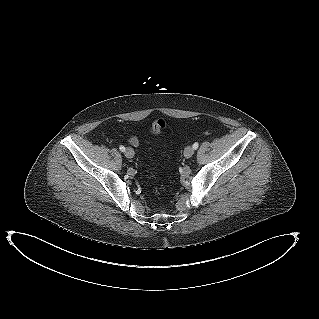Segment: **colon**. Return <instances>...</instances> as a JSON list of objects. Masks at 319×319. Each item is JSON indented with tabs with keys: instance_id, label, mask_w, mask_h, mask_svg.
I'll list each match as a JSON object with an SVG mask.
<instances>
[{
	"instance_id": "colon-1",
	"label": "colon",
	"mask_w": 319,
	"mask_h": 319,
	"mask_svg": "<svg viewBox=\"0 0 319 319\" xmlns=\"http://www.w3.org/2000/svg\"><path fill=\"white\" fill-rule=\"evenodd\" d=\"M166 126V123L163 119H157L153 121V123L150 126V131L152 133H160Z\"/></svg>"
}]
</instances>
